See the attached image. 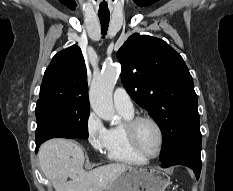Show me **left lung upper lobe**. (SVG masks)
Returning a JSON list of instances; mask_svg holds the SVG:
<instances>
[{"label":"left lung upper lobe","mask_w":233,"mask_h":191,"mask_svg":"<svg viewBox=\"0 0 233 191\" xmlns=\"http://www.w3.org/2000/svg\"><path fill=\"white\" fill-rule=\"evenodd\" d=\"M117 58L125 89L163 133L162 162L186 144L202 142L197 95L180 54L159 38L135 33Z\"/></svg>","instance_id":"left-lung-upper-lobe-1"}]
</instances>
